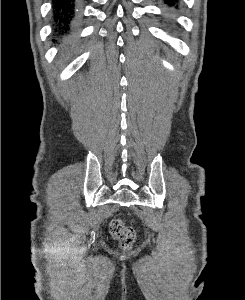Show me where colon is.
Masks as SVG:
<instances>
[{"label":"colon","instance_id":"1","mask_svg":"<svg viewBox=\"0 0 245 300\" xmlns=\"http://www.w3.org/2000/svg\"><path fill=\"white\" fill-rule=\"evenodd\" d=\"M111 235L119 242L121 247L130 248L136 238L135 231L132 227L127 226L120 218L113 219L109 225Z\"/></svg>","mask_w":245,"mask_h":300}]
</instances>
